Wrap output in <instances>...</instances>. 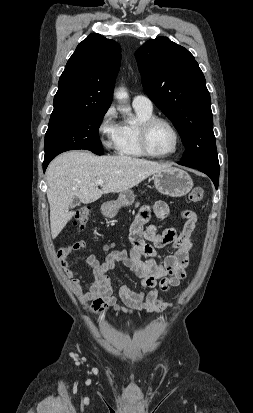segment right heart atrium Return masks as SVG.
<instances>
[{"mask_svg":"<svg viewBox=\"0 0 253 413\" xmlns=\"http://www.w3.org/2000/svg\"><path fill=\"white\" fill-rule=\"evenodd\" d=\"M97 133L102 145L109 151H118L122 140V125L117 121V112L109 106L102 114Z\"/></svg>","mask_w":253,"mask_h":413,"instance_id":"1","label":"right heart atrium"}]
</instances>
